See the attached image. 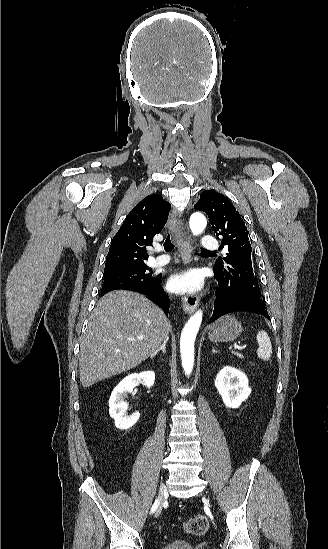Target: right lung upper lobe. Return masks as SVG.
Wrapping results in <instances>:
<instances>
[{"mask_svg":"<svg viewBox=\"0 0 328 549\" xmlns=\"http://www.w3.org/2000/svg\"><path fill=\"white\" fill-rule=\"evenodd\" d=\"M171 205L160 195H149L128 214L111 241L104 272L144 265L146 247L167 222Z\"/></svg>","mask_w":328,"mask_h":549,"instance_id":"right-lung-upper-lobe-1","label":"right lung upper lobe"}]
</instances>
